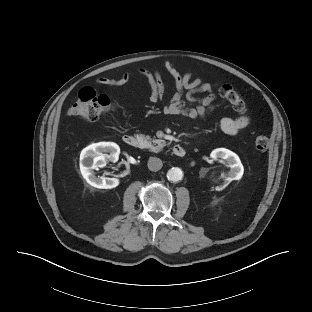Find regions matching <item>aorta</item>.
<instances>
[{
    "mask_svg": "<svg viewBox=\"0 0 312 312\" xmlns=\"http://www.w3.org/2000/svg\"><path fill=\"white\" fill-rule=\"evenodd\" d=\"M167 178L171 182H179L183 178V172L180 168L173 167V168L168 170Z\"/></svg>",
    "mask_w": 312,
    "mask_h": 312,
    "instance_id": "762f6f07",
    "label": "aorta"
}]
</instances>
